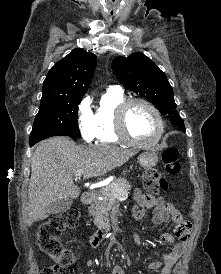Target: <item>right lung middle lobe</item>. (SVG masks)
Wrapping results in <instances>:
<instances>
[{"instance_id":"obj_1","label":"right lung middle lobe","mask_w":221,"mask_h":274,"mask_svg":"<svg viewBox=\"0 0 221 274\" xmlns=\"http://www.w3.org/2000/svg\"><path fill=\"white\" fill-rule=\"evenodd\" d=\"M82 98L41 100L30 134L29 144L33 145L52 136L80 137L78 129V105Z\"/></svg>"}]
</instances>
